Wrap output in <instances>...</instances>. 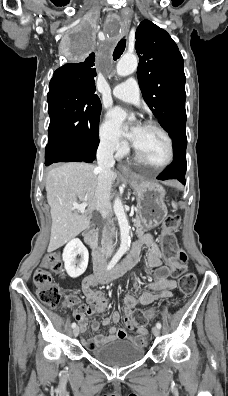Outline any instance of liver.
<instances>
[{
    "instance_id": "1",
    "label": "liver",
    "mask_w": 228,
    "mask_h": 396,
    "mask_svg": "<svg viewBox=\"0 0 228 396\" xmlns=\"http://www.w3.org/2000/svg\"><path fill=\"white\" fill-rule=\"evenodd\" d=\"M98 176L97 167L88 163H65L48 172L46 192L52 217L49 252L88 228L96 208ZM116 177L113 172L112 180ZM79 202L88 204L85 215L73 209V205Z\"/></svg>"
}]
</instances>
